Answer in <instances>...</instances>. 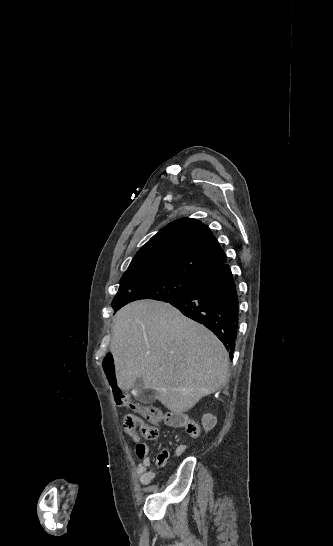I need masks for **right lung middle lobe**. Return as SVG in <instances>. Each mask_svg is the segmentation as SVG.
Returning a JSON list of instances; mask_svg holds the SVG:
<instances>
[{"instance_id":"obj_1","label":"right lung middle lobe","mask_w":333,"mask_h":546,"mask_svg":"<svg viewBox=\"0 0 333 546\" xmlns=\"http://www.w3.org/2000/svg\"><path fill=\"white\" fill-rule=\"evenodd\" d=\"M200 279L185 277L169 272H148L123 275L120 287L112 302L115 311L139 299L164 301L189 292Z\"/></svg>"}]
</instances>
